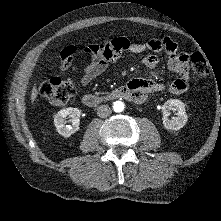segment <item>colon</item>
<instances>
[{
	"mask_svg": "<svg viewBox=\"0 0 221 221\" xmlns=\"http://www.w3.org/2000/svg\"><path fill=\"white\" fill-rule=\"evenodd\" d=\"M76 56L77 49L75 47L65 48L61 52L62 66L66 69L74 68L77 64ZM186 60L200 78H205L208 75L206 60L201 53L196 52L187 55ZM39 91L50 104L64 106L74 96L76 86L72 79L52 77L40 85Z\"/></svg>",
	"mask_w": 221,
	"mask_h": 221,
	"instance_id": "obj_1",
	"label": "colon"
}]
</instances>
